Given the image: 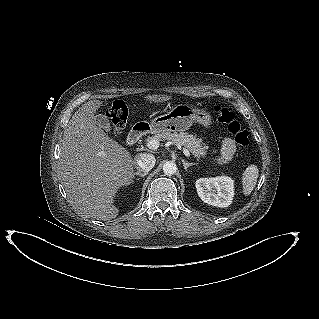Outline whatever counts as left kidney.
<instances>
[{
	"instance_id": "obj_1",
	"label": "left kidney",
	"mask_w": 319,
	"mask_h": 319,
	"mask_svg": "<svg viewBox=\"0 0 319 319\" xmlns=\"http://www.w3.org/2000/svg\"><path fill=\"white\" fill-rule=\"evenodd\" d=\"M196 189L201 200L209 205L228 207L234 196V180L227 176L200 178Z\"/></svg>"
}]
</instances>
